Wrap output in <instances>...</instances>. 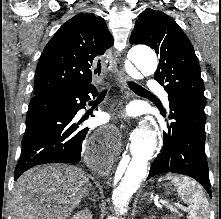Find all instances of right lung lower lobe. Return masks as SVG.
Here are the masks:
<instances>
[{
    "label": "right lung lower lobe",
    "mask_w": 221,
    "mask_h": 219,
    "mask_svg": "<svg viewBox=\"0 0 221 219\" xmlns=\"http://www.w3.org/2000/svg\"><path fill=\"white\" fill-rule=\"evenodd\" d=\"M92 84L74 89L34 96L26 117L22 151L14 179L29 168L45 163H77L81 160L88 127L77 122V112L84 108L90 96H96ZM92 150L101 151L95 142Z\"/></svg>",
    "instance_id": "98d812e1"
}]
</instances>
